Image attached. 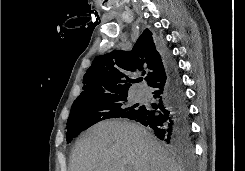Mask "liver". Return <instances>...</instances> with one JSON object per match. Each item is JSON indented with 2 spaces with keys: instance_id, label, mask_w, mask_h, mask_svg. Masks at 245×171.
Wrapping results in <instances>:
<instances>
[{
  "instance_id": "1",
  "label": "liver",
  "mask_w": 245,
  "mask_h": 171,
  "mask_svg": "<svg viewBox=\"0 0 245 171\" xmlns=\"http://www.w3.org/2000/svg\"><path fill=\"white\" fill-rule=\"evenodd\" d=\"M70 171H184L144 127L120 120L89 128L71 154Z\"/></svg>"
}]
</instances>
